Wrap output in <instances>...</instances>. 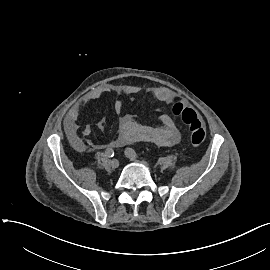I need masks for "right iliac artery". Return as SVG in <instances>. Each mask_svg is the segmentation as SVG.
I'll list each match as a JSON object with an SVG mask.
<instances>
[{"instance_id": "right-iliac-artery-1", "label": "right iliac artery", "mask_w": 270, "mask_h": 270, "mask_svg": "<svg viewBox=\"0 0 270 270\" xmlns=\"http://www.w3.org/2000/svg\"><path fill=\"white\" fill-rule=\"evenodd\" d=\"M106 156L112 158L114 156V150L111 147H108L105 151Z\"/></svg>"}]
</instances>
